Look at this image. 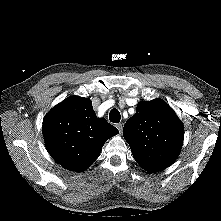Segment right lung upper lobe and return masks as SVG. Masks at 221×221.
Returning a JSON list of instances; mask_svg holds the SVG:
<instances>
[{
    "mask_svg": "<svg viewBox=\"0 0 221 221\" xmlns=\"http://www.w3.org/2000/svg\"><path fill=\"white\" fill-rule=\"evenodd\" d=\"M43 136L52 158L63 168L81 172L100 155L107 139L118 129L97 118L88 98L71 96L46 114Z\"/></svg>",
    "mask_w": 221,
    "mask_h": 221,
    "instance_id": "cb5924a9",
    "label": "right lung upper lobe"
}]
</instances>
